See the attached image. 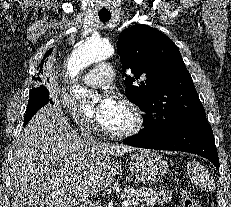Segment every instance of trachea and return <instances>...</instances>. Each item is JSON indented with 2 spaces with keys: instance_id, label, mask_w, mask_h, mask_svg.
Listing matches in <instances>:
<instances>
[{
  "instance_id": "trachea-1",
  "label": "trachea",
  "mask_w": 231,
  "mask_h": 207,
  "mask_svg": "<svg viewBox=\"0 0 231 207\" xmlns=\"http://www.w3.org/2000/svg\"><path fill=\"white\" fill-rule=\"evenodd\" d=\"M98 16L102 22H107L111 19V14H98Z\"/></svg>"
}]
</instances>
